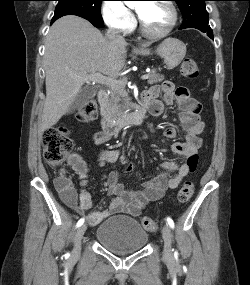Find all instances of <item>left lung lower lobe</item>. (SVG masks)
I'll use <instances>...</instances> for the list:
<instances>
[{
	"label": "left lung lower lobe",
	"instance_id": "left-lung-lower-lobe-1",
	"mask_svg": "<svg viewBox=\"0 0 250 285\" xmlns=\"http://www.w3.org/2000/svg\"><path fill=\"white\" fill-rule=\"evenodd\" d=\"M202 32H207L208 36H210L213 39V32L212 31H207V30H200Z\"/></svg>",
	"mask_w": 250,
	"mask_h": 285
}]
</instances>
